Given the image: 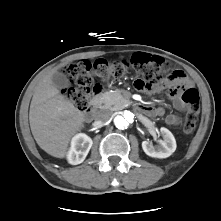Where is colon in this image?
<instances>
[{"label":"colon","mask_w":221,"mask_h":221,"mask_svg":"<svg viewBox=\"0 0 221 221\" xmlns=\"http://www.w3.org/2000/svg\"><path fill=\"white\" fill-rule=\"evenodd\" d=\"M130 67L134 68L138 75L136 87L144 90L161 83L168 64L160 56L146 53H137L127 61L98 59L91 62L81 60L68 65L65 69L69 86L64 90V95L75 107L86 110L94 77L120 78ZM177 90L180 91L182 100L188 106L183 132L191 135L197 126L200 111L199 94L195 88L182 84L177 85Z\"/></svg>","instance_id":"colon-1"}]
</instances>
